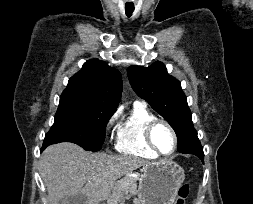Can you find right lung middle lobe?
Returning a JSON list of instances; mask_svg holds the SVG:
<instances>
[{"mask_svg":"<svg viewBox=\"0 0 253 204\" xmlns=\"http://www.w3.org/2000/svg\"><path fill=\"white\" fill-rule=\"evenodd\" d=\"M113 110L63 93L55 121L44 142H73L85 150L98 151L105 139L106 125Z\"/></svg>","mask_w":253,"mask_h":204,"instance_id":"dd1d6c3e","label":"right lung middle lobe"}]
</instances>
